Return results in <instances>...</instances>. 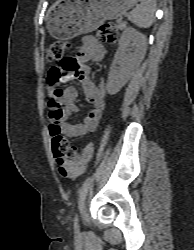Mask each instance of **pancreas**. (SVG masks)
<instances>
[{
    "label": "pancreas",
    "instance_id": "1",
    "mask_svg": "<svg viewBox=\"0 0 194 250\" xmlns=\"http://www.w3.org/2000/svg\"><path fill=\"white\" fill-rule=\"evenodd\" d=\"M126 27V23L123 22L122 20H117V25H116V28L119 29V30H123L125 29Z\"/></svg>",
    "mask_w": 194,
    "mask_h": 250
}]
</instances>
